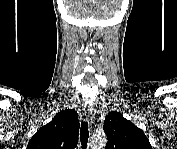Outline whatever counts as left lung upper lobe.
<instances>
[{
	"label": "left lung upper lobe",
	"instance_id": "obj_1",
	"mask_svg": "<svg viewBox=\"0 0 177 149\" xmlns=\"http://www.w3.org/2000/svg\"><path fill=\"white\" fill-rule=\"evenodd\" d=\"M103 129L108 139L106 149H152L144 132L117 111L108 113Z\"/></svg>",
	"mask_w": 177,
	"mask_h": 149
}]
</instances>
